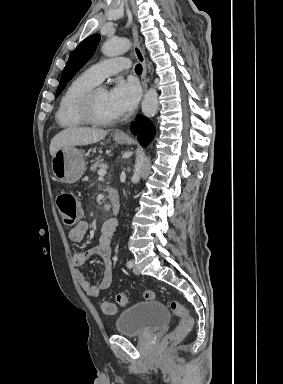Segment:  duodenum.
<instances>
[{"label": "duodenum", "instance_id": "duodenum-1", "mask_svg": "<svg viewBox=\"0 0 283 384\" xmlns=\"http://www.w3.org/2000/svg\"><path fill=\"white\" fill-rule=\"evenodd\" d=\"M107 195H108L110 202H111L112 212L114 214L118 213L120 210V206H121L118 191L113 187H108L107 188Z\"/></svg>", "mask_w": 283, "mask_h": 384}]
</instances>
